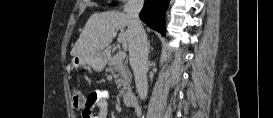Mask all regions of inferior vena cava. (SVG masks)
<instances>
[{
	"label": "inferior vena cava",
	"instance_id": "inferior-vena-cava-1",
	"mask_svg": "<svg viewBox=\"0 0 273 118\" xmlns=\"http://www.w3.org/2000/svg\"><path fill=\"white\" fill-rule=\"evenodd\" d=\"M143 7V0H128L124 11L130 18L128 30L129 61L134 73L136 90L141 99H145L148 93L147 71H148V43L147 35L139 18V12Z\"/></svg>",
	"mask_w": 273,
	"mask_h": 118
}]
</instances>
